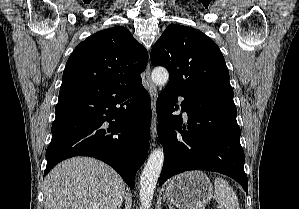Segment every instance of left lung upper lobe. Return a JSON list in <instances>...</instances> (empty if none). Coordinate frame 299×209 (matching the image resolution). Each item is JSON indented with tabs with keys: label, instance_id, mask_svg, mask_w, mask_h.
I'll return each mask as SVG.
<instances>
[{
	"label": "left lung upper lobe",
	"instance_id": "obj_1",
	"mask_svg": "<svg viewBox=\"0 0 299 209\" xmlns=\"http://www.w3.org/2000/svg\"><path fill=\"white\" fill-rule=\"evenodd\" d=\"M153 66L170 73L167 85L182 90H210L233 94L229 71L219 47L204 33L171 24L151 50Z\"/></svg>",
	"mask_w": 299,
	"mask_h": 209
}]
</instances>
